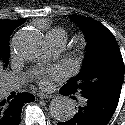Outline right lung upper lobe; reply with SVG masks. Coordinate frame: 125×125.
Here are the masks:
<instances>
[{"instance_id":"cb5924a9","label":"right lung upper lobe","mask_w":125,"mask_h":125,"mask_svg":"<svg viewBox=\"0 0 125 125\" xmlns=\"http://www.w3.org/2000/svg\"><path fill=\"white\" fill-rule=\"evenodd\" d=\"M25 22V19L0 20V37H9L12 32Z\"/></svg>"}]
</instances>
